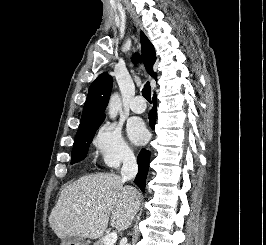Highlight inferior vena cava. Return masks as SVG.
<instances>
[{
	"label": "inferior vena cava",
	"mask_w": 266,
	"mask_h": 245,
	"mask_svg": "<svg viewBox=\"0 0 266 245\" xmlns=\"http://www.w3.org/2000/svg\"><path fill=\"white\" fill-rule=\"evenodd\" d=\"M138 173L137 161L134 157V153L124 155L123 167L121 169L122 181H131Z\"/></svg>",
	"instance_id": "inferior-vena-cava-1"
}]
</instances>
